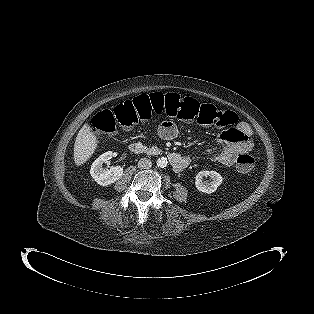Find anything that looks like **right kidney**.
Instances as JSON below:
<instances>
[{
	"label": "right kidney",
	"mask_w": 314,
	"mask_h": 314,
	"mask_svg": "<svg viewBox=\"0 0 314 314\" xmlns=\"http://www.w3.org/2000/svg\"><path fill=\"white\" fill-rule=\"evenodd\" d=\"M112 156V151L105 152L100 155L91 166L90 174L94 181L101 186L115 183L123 175V168L121 166H112L106 169L103 168V163L111 159Z\"/></svg>",
	"instance_id": "ca27d5eb"
}]
</instances>
